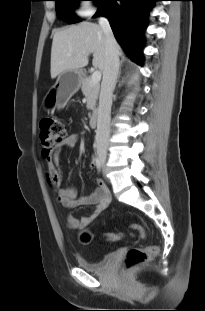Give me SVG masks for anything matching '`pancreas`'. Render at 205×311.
<instances>
[{
  "label": "pancreas",
  "instance_id": "1",
  "mask_svg": "<svg viewBox=\"0 0 205 311\" xmlns=\"http://www.w3.org/2000/svg\"><path fill=\"white\" fill-rule=\"evenodd\" d=\"M91 77H83L81 80V90L87 99V109L95 110L96 101L99 94L100 85L90 84Z\"/></svg>",
  "mask_w": 205,
  "mask_h": 311
}]
</instances>
